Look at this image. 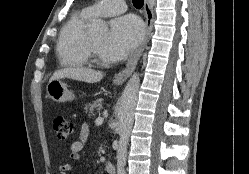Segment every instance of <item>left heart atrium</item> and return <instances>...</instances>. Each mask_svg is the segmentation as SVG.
Segmentation results:
<instances>
[{"mask_svg":"<svg viewBox=\"0 0 249 174\" xmlns=\"http://www.w3.org/2000/svg\"><path fill=\"white\" fill-rule=\"evenodd\" d=\"M143 27L140 20L131 15L123 16L112 22L104 48L109 61L123 59L141 41Z\"/></svg>","mask_w":249,"mask_h":174,"instance_id":"1","label":"left heart atrium"}]
</instances>
